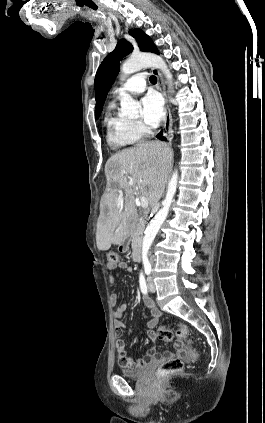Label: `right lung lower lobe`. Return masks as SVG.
Instances as JSON below:
<instances>
[{
	"label": "right lung lower lobe",
	"instance_id": "right-lung-lower-lobe-1",
	"mask_svg": "<svg viewBox=\"0 0 265 423\" xmlns=\"http://www.w3.org/2000/svg\"><path fill=\"white\" fill-rule=\"evenodd\" d=\"M157 138L162 140V141H166V138L164 136H162V132L157 135Z\"/></svg>",
	"mask_w": 265,
	"mask_h": 423
}]
</instances>
